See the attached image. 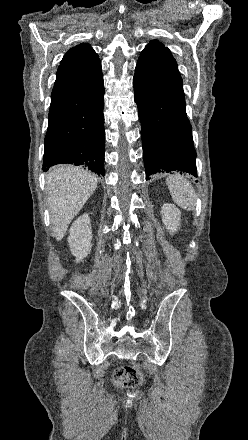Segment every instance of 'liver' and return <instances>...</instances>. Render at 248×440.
I'll return each mask as SVG.
<instances>
[{"instance_id": "obj_1", "label": "liver", "mask_w": 248, "mask_h": 440, "mask_svg": "<svg viewBox=\"0 0 248 440\" xmlns=\"http://www.w3.org/2000/svg\"><path fill=\"white\" fill-rule=\"evenodd\" d=\"M97 178L81 167L59 165L46 176L47 202L53 236L60 241L71 221L94 193Z\"/></svg>"}]
</instances>
